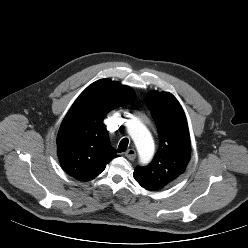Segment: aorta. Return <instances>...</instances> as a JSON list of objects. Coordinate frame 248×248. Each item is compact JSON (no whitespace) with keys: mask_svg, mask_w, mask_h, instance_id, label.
Returning a JSON list of instances; mask_svg holds the SVG:
<instances>
[{"mask_svg":"<svg viewBox=\"0 0 248 248\" xmlns=\"http://www.w3.org/2000/svg\"><path fill=\"white\" fill-rule=\"evenodd\" d=\"M127 130L135 143L141 162L147 163L154 154V141L148 129L137 119L127 124Z\"/></svg>","mask_w":248,"mask_h":248,"instance_id":"aorta-1","label":"aorta"}]
</instances>
